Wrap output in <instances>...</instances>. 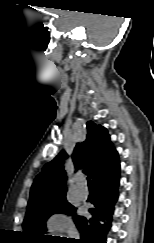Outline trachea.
Here are the masks:
<instances>
[{
    "label": "trachea",
    "mask_w": 154,
    "mask_h": 243,
    "mask_svg": "<svg viewBox=\"0 0 154 243\" xmlns=\"http://www.w3.org/2000/svg\"><path fill=\"white\" fill-rule=\"evenodd\" d=\"M87 181H88V186H89V187H92V184H91V177H90V176L87 177Z\"/></svg>",
    "instance_id": "3493384b"
}]
</instances>
